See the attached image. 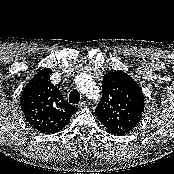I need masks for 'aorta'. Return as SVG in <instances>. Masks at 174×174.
Here are the masks:
<instances>
[{"mask_svg": "<svg viewBox=\"0 0 174 174\" xmlns=\"http://www.w3.org/2000/svg\"><path fill=\"white\" fill-rule=\"evenodd\" d=\"M75 83L81 91L86 93V95H88L91 99H95L93 95L95 91V86L89 75H78L75 79Z\"/></svg>", "mask_w": 174, "mask_h": 174, "instance_id": "762f6f07", "label": "aorta"}]
</instances>
